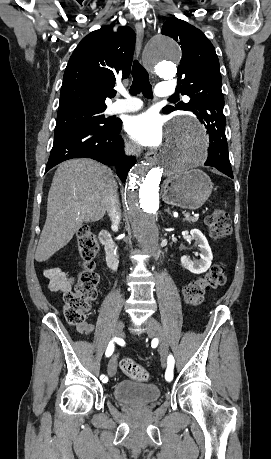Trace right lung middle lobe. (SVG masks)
Masks as SVG:
<instances>
[{
    "label": "right lung middle lobe",
    "instance_id": "right-lung-middle-lobe-1",
    "mask_svg": "<svg viewBox=\"0 0 271 459\" xmlns=\"http://www.w3.org/2000/svg\"><path fill=\"white\" fill-rule=\"evenodd\" d=\"M106 106H82L58 111L55 134L78 127L108 128L118 120L105 118Z\"/></svg>",
    "mask_w": 271,
    "mask_h": 459
}]
</instances>
